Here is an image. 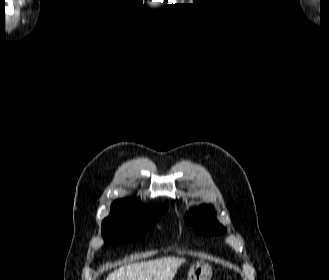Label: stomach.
Returning <instances> with one entry per match:
<instances>
[{
    "label": "stomach",
    "instance_id": "0dacf381",
    "mask_svg": "<svg viewBox=\"0 0 329 280\" xmlns=\"http://www.w3.org/2000/svg\"><path fill=\"white\" fill-rule=\"evenodd\" d=\"M211 277V266L208 263L200 261L190 267L187 280H211Z\"/></svg>",
    "mask_w": 329,
    "mask_h": 280
}]
</instances>
